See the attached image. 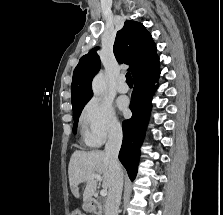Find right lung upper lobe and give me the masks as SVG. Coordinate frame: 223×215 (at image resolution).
Listing matches in <instances>:
<instances>
[{
  "label": "right lung upper lobe",
  "instance_id": "obj_1",
  "mask_svg": "<svg viewBox=\"0 0 223 215\" xmlns=\"http://www.w3.org/2000/svg\"><path fill=\"white\" fill-rule=\"evenodd\" d=\"M98 47L81 57L71 84L73 109L85 105L92 97L91 83L100 68ZM113 51L118 62L130 65L133 80L159 68V57L151 34L135 21L127 20L117 32Z\"/></svg>",
  "mask_w": 223,
  "mask_h": 215
}]
</instances>
